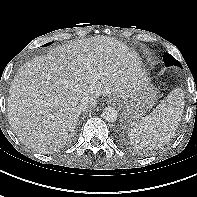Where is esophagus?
Masks as SVG:
<instances>
[{
    "instance_id": "1",
    "label": "esophagus",
    "mask_w": 197,
    "mask_h": 197,
    "mask_svg": "<svg viewBox=\"0 0 197 197\" xmlns=\"http://www.w3.org/2000/svg\"><path fill=\"white\" fill-rule=\"evenodd\" d=\"M108 102L111 103V104H115V102H116V97H114V96L109 97V98H108Z\"/></svg>"
}]
</instances>
